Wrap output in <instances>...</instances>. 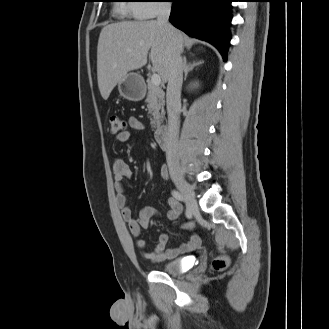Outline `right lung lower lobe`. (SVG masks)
<instances>
[{"label": "right lung lower lobe", "mask_w": 329, "mask_h": 329, "mask_svg": "<svg viewBox=\"0 0 329 329\" xmlns=\"http://www.w3.org/2000/svg\"><path fill=\"white\" fill-rule=\"evenodd\" d=\"M173 2L169 21L191 37L213 44L227 59L231 39V2L234 0H169Z\"/></svg>", "instance_id": "obj_1"}]
</instances>
